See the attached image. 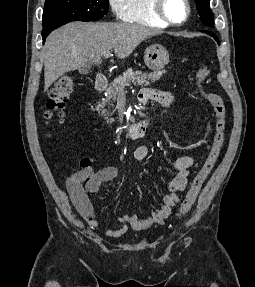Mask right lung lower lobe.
Here are the masks:
<instances>
[{
	"instance_id": "right-lung-lower-lobe-1",
	"label": "right lung lower lobe",
	"mask_w": 255,
	"mask_h": 287,
	"mask_svg": "<svg viewBox=\"0 0 255 287\" xmlns=\"http://www.w3.org/2000/svg\"><path fill=\"white\" fill-rule=\"evenodd\" d=\"M52 31L44 32L42 33L43 43L45 42L46 37L51 33Z\"/></svg>"
}]
</instances>
